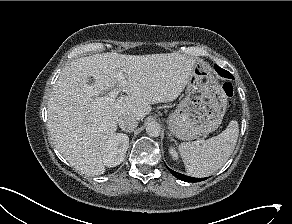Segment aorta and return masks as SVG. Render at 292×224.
Returning <instances> with one entry per match:
<instances>
[{"label":"aorta","instance_id":"aorta-1","mask_svg":"<svg viewBox=\"0 0 292 224\" xmlns=\"http://www.w3.org/2000/svg\"><path fill=\"white\" fill-rule=\"evenodd\" d=\"M161 127L157 122H149L146 126V133L151 137L160 135Z\"/></svg>","mask_w":292,"mask_h":224}]
</instances>
